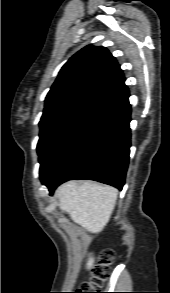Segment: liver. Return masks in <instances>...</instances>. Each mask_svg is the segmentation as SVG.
<instances>
[{
	"mask_svg": "<svg viewBox=\"0 0 170 293\" xmlns=\"http://www.w3.org/2000/svg\"><path fill=\"white\" fill-rule=\"evenodd\" d=\"M117 196L116 188L91 181H69L56 190L60 209L91 233H100L109 222ZM93 264L94 257L90 256L86 268Z\"/></svg>",
	"mask_w": 170,
	"mask_h": 293,
	"instance_id": "1",
	"label": "liver"
}]
</instances>
